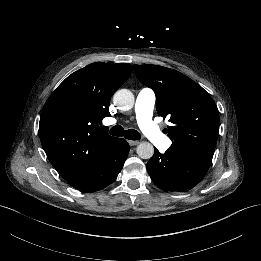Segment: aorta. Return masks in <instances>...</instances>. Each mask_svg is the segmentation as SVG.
Returning a JSON list of instances; mask_svg holds the SVG:
<instances>
[{"mask_svg":"<svg viewBox=\"0 0 261 261\" xmlns=\"http://www.w3.org/2000/svg\"><path fill=\"white\" fill-rule=\"evenodd\" d=\"M113 103L120 110H130L134 105V95L128 89H120L115 92ZM137 154L142 159H150L154 154V147L149 142H142L137 147Z\"/></svg>","mask_w":261,"mask_h":261,"instance_id":"762f6f07","label":"aorta"}]
</instances>
